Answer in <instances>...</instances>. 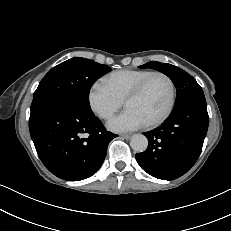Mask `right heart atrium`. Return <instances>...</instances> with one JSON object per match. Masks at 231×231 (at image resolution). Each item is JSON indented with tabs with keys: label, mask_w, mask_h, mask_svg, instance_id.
<instances>
[{
	"label": "right heart atrium",
	"mask_w": 231,
	"mask_h": 231,
	"mask_svg": "<svg viewBox=\"0 0 231 231\" xmlns=\"http://www.w3.org/2000/svg\"><path fill=\"white\" fill-rule=\"evenodd\" d=\"M88 103L91 110L101 119H110L123 105L103 81H96L88 93Z\"/></svg>",
	"instance_id": "right-heart-atrium-1"
}]
</instances>
